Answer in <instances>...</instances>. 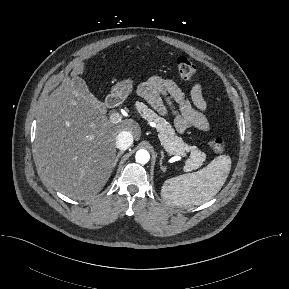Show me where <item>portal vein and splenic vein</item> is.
<instances>
[{"instance_id":"18ae733b","label":"portal vein and splenic vein","mask_w":289,"mask_h":289,"mask_svg":"<svg viewBox=\"0 0 289 289\" xmlns=\"http://www.w3.org/2000/svg\"><path fill=\"white\" fill-rule=\"evenodd\" d=\"M110 122L113 123V124H117V123H120L122 122V115L119 114V113H113L111 114L110 116ZM164 149L172 154V155H181V156H186V153H182L180 151H175V150H172V149H169L168 147H164Z\"/></svg>"}]
</instances>
